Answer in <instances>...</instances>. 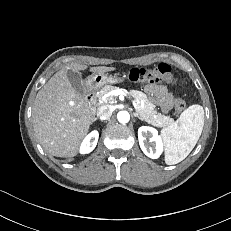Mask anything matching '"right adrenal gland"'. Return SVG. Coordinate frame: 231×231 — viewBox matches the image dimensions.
Masks as SVG:
<instances>
[{
  "label": "right adrenal gland",
  "instance_id": "obj_1",
  "mask_svg": "<svg viewBox=\"0 0 231 231\" xmlns=\"http://www.w3.org/2000/svg\"><path fill=\"white\" fill-rule=\"evenodd\" d=\"M96 120H97V118H94L92 122H94V121H96Z\"/></svg>",
  "mask_w": 231,
  "mask_h": 231
}]
</instances>
